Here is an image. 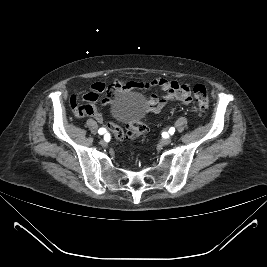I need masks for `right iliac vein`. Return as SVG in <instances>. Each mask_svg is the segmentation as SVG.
I'll return each mask as SVG.
<instances>
[{"label": "right iliac vein", "mask_w": 267, "mask_h": 267, "mask_svg": "<svg viewBox=\"0 0 267 267\" xmlns=\"http://www.w3.org/2000/svg\"><path fill=\"white\" fill-rule=\"evenodd\" d=\"M99 143L103 147H106L107 146V142L104 139H101Z\"/></svg>", "instance_id": "1"}]
</instances>
